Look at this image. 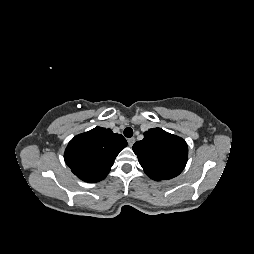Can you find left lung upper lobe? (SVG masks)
<instances>
[{"mask_svg": "<svg viewBox=\"0 0 254 254\" xmlns=\"http://www.w3.org/2000/svg\"><path fill=\"white\" fill-rule=\"evenodd\" d=\"M145 173L153 180H167L176 177L187 163L186 142L161 128L149 129L144 139L133 145Z\"/></svg>", "mask_w": 254, "mask_h": 254, "instance_id": "1", "label": "left lung upper lobe"}]
</instances>
